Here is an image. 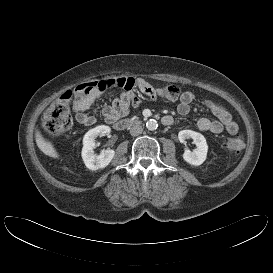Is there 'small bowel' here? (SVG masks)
<instances>
[{
  "instance_id": "obj_1",
  "label": "small bowel",
  "mask_w": 273,
  "mask_h": 273,
  "mask_svg": "<svg viewBox=\"0 0 273 273\" xmlns=\"http://www.w3.org/2000/svg\"><path fill=\"white\" fill-rule=\"evenodd\" d=\"M138 89L151 99H156L159 96V91L151 86L147 81L143 79L137 80ZM100 98V94H95L91 97L77 99L74 103V111L76 113V120L78 123L84 126L93 125L96 120L95 117L87 112L95 100ZM195 96L191 91H184L179 99L177 106V112L179 115L185 116L191 110V104L194 101ZM139 103V98L135 93L131 91L122 92L116 97L111 105H106L102 108V114L107 122H111L113 119H119L126 116L133 106ZM204 105L215 116V119H209L206 117L199 118L197 120V127L202 131H209L212 133H221L223 131L230 135H234L238 132V124L232 119L230 112L221 104L207 99ZM169 120V125L173 124L172 116H165Z\"/></svg>"
}]
</instances>
